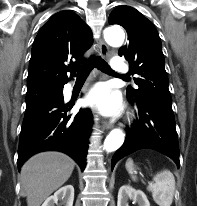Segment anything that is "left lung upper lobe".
Listing matches in <instances>:
<instances>
[{"label": "left lung upper lobe", "instance_id": "1", "mask_svg": "<svg viewBox=\"0 0 197 206\" xmlns=\"http://www.w3.org/2000/svg\"><path fill=\"white\" fill-rule=\"evenodd\" d=\"M109 24L126 29L129 42L119 49L118 54L126 57L132 74L139 76L134 78L138 89L127 87V96L172 105L161 41L152 22L130 6H119L111 12Z\"/></svg>", "mask_w": 197, "mask_h": 206}]
</instances>
